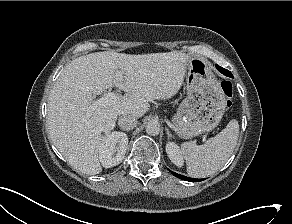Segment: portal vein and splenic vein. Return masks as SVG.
I'll return each mask as SVG.
<instances>
[{"mask_svg": "<svg viewBox=\"0 0 292 224\" xmlns=\"http://www.w3.org/2000/svg\"><path fill=\"white\" fill-rule=\"evenodd\" d=\"M118 77L122 78L121 71H118ZM119 96L114 92H108L104 97L97 100V103L115 104L119 101ZM90 112V111H89Z\"/></svg>", "mask_w": 292, "mask_h": 224, "instance_id": "18ae733b", "label": "portal vein and splenic vein"}]
</instances>
